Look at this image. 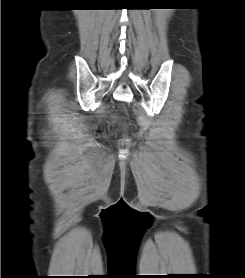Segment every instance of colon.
Segmentation results:
<instances>
[{
	"label": "colon",
	"mask_w": 245,
	"mask_h": 278,
	"mask_svg": "<svg viewBox=\"0 0 245 278\" xmlns=\"http://www.w3.org/2000/svg\"><path fill=\"white\" fill-rule=\"evenodd\" d=\"M112 120L116 122L118 120V115L117 114H113L112 115Z\"/></svg>",
	"instance_id": "1"
}]
</instances>
